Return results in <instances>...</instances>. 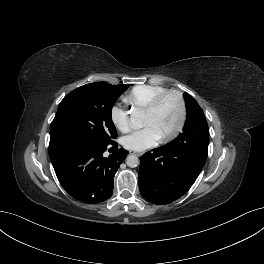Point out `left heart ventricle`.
<instances>
[{"label": "left heart ventricle", "instance_id": "obj_1", "mask_svg": "<svg viewBox=\"0 0 264 264\" xmlns=\"http://www.w3.org/2000/svg\"><path fill=\"white\" fill-rule=\"evenodd\" d=\"M179 116L178 102L174 96H169L156 111L145 112L144 124L154 126L162 137L176 127Z\"/></svg>", "mask_w": 264, "mask_h": 264}]
</instances>
